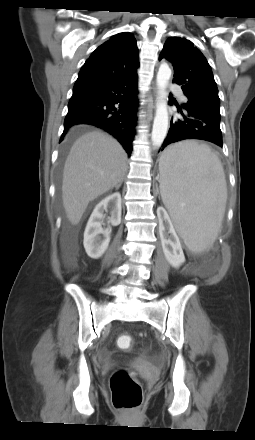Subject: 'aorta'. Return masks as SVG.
<instances>
[{
    "mask_svg": "<svg viewBox=\"0 0 255 440\" xmlns=\"http://www.w3.org/2000/svg\"><path fill=\"white\" fill-rule=\"evenodd\" d=\"M170 77L171 69L169 66L167 64H161L156 78L158 87V101L151 136L152 145L155 148L162 145L168 131L169 116L166 101V87L168 86Z\"/></svg>",
    "mask_w": 255,
    "mask_h": 440,
    "instance_id": "obj_1",
    "label": "aorta"
}]
</instances>
